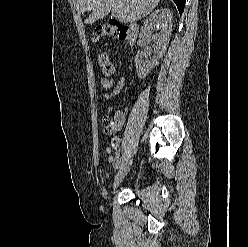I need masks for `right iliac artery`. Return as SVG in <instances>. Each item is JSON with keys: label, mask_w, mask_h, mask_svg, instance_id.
I'll use <instances>...</instances> for the list:
<instances>
[{"label": "right iliac artery", "mask_w": 248, "mask_h": 247, "mask_svg": "<svg viewBox=\"0 0 248 247\" xmlns=\"http://www.w3.org/2000/svg\"><path fill=\"white\" fill-rule=\"evenodd\" d=\"M123 161H124V159H123V157H121L120 159H119V161L117 162V164H116V168L117 169H121V167H122V164H123Z\"/></svg>", "instance_id": "right-iliac-artery-1"}]
</instances>
